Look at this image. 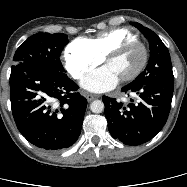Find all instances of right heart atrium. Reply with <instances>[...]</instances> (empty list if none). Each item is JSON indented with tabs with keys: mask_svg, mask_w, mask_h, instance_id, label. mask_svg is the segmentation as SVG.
<instances>
[{
	"mask_svg": "<svg viewBox=\"0 0 187 187\" xmlns=\"http://www.w3.org/2000/svg\"><path fill=\"white\" fill-rule=\"evenodd\" d=\"M63 59L67 71L75 79H81L103 61L88 41L82 38L73 40L65 47Z\"/></svg>",
	"mask_w": 187,
	"mask_h": 187,
	"instance_id": "right-heart-atrium-1",
	"label": "right heart atrium"
}]
</instances>
